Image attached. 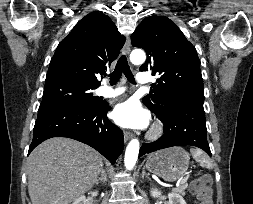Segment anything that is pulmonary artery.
I'll list each match as a JSON object with an SVG mask.
<instances>
[{"label":"pulmonary artery","instance_id":"obj_1","mask_svg":"<svg viewBox=\"0 0 253 204\" xmlns=\"http://www.w3.org/2000/svg\"><path fill=\"white\" fill-rule=\"evenodd\" d=\"M137 83L141 86L149 85L151 80L147 73H138L136 75ZM125 92V87H117V88H110L108 86H103L99 89L98 94L103 97H117Z\"/></svg>","mask_w":253,"mask_h":204}]
</instances>
